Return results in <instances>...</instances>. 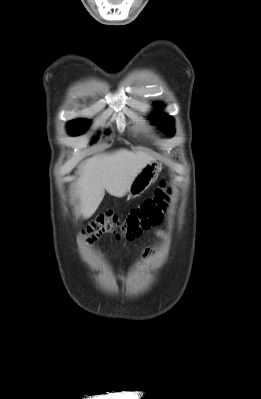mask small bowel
<instances>
[{"label":"small bowel","instance_id":"small-bowel-1","mask_svg":"<svg viewBox=\"0 0 261 399\" xmlns=\"http://www.w3.org/2000/svg\"><path fill=\"white\" fill-rule=\"evenodd\" d=\"M155 235H156L157 237H160V238L165 237V233H164V231H162V230H157V231H155ZM148 253H149V252L147 251V252H146V255H147Z\"/></svg>","mask_w":261,"mask_h":399}]
</instances>
